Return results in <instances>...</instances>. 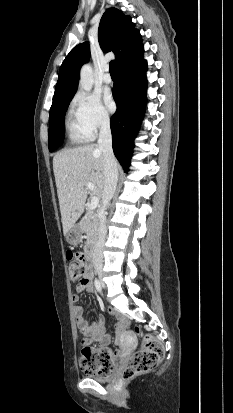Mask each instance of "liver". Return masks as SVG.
<instances>
[{
	"label": "liver",
	"mask_w": 233,
	"mask_h": 413,
	"mask_svg": "<svg viewBox=\"0 0 233 413\" xmlns=\"http://www.w3.org/2000/svg\"><path fill=\"white\" fill-rule=\"evenodd\" d=\"M63 234L67 233L82 214L89 191L102 198L104 188V157L97 144L64 149L53 158Z\"/></svg>",
	"instance_id": "6515ba94"
}]
</instances>
